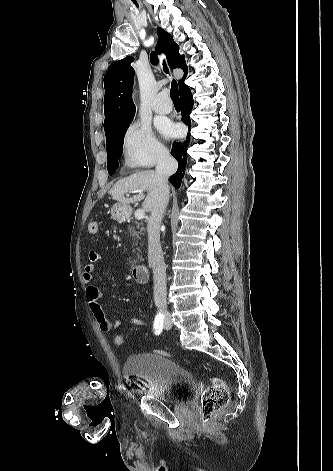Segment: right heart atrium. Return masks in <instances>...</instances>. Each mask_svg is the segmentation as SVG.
I'll use <instances>...</instances> for the list:
<instances>
[{
  "mask_svg": "<svg viewBox=\"0 0 333 471\" xmlns=\"http://www.w3.org/2000/svg\"><path fill=\"white\" fill-rule=\"evenodd\" d=\"M125 163L130 167H151L167 157V149L157 139L150 126L131 122L122 137Z\"/></svg>",
  "mask_w": 333,
  "mask_h": 471,
  "instance_id": "right-heart-atrium-1",
  "label": "right heart atrium"
}]
</instances>
